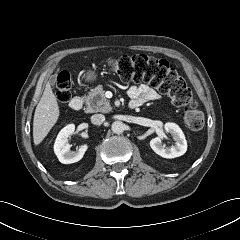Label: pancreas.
Listing matches in <instances>:
<instances>
[{
  "label": "pancreas",
  "mask_w": 240,
  "mask_h": 240,
  "mask_svg": "<svg viewBox=\"0 0 240 240\" xmlns=\"http://www.w3.org/2000/svg\"><path fill=\"white\" fill-rule=\"evenodd\" d=\"M84 100L86 102V112L88 113H107L112 110L110 101L104 96V90L101 85L91 89L88 95L84 97Z\"/></svg>",
  "instance_id": "1"
}]
</instances>
